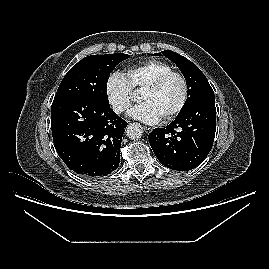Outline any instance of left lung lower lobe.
<instances>
[{"label": "left lung lower lobe", "mask_w": 269, "mask_h": 269, "mask_svg": "<svg viewBox=\"0 0 269 269\" xmlns=\"http://www.w3.org/2000/svg\"><path fill=\"white\" fill-rule=\"evenodd\" d=\"M215 96L192 104L164 128L149 134L157 159L166 167L188 171L200 165L210 152L216 130Z\"/></svg>", "instance_id": "0a47b994"}]
</instances>
